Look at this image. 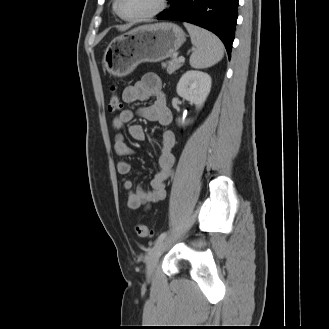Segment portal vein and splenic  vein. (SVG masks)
Returning a JSON list of instances; mask_svg holds the SVG:
<instances>
[{
	"label": "portal vein and splenic vein",
	"mask_w": 329,
	"mask_h": 329,
	"mask_svg": "<svg viewBox=\"0 0 329 329\" xmlns=\"http://www.w3.org/2000/svg\"><path fill=\"white\" fill-rule=\"evenodd\" d=\"M179 61H180V62H184V61H185V58H184L183 56H180V57H179Z\"/></svg>",
	"instance_id": "obj_1"
}]
</instances>
